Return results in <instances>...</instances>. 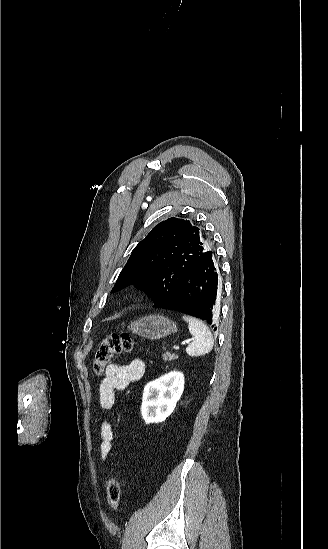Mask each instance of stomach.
I'll return each mask as SVG.
<instances>
[{"instance_id":"0dacf381","label":"stomach","mask_w":328,"mask_h":549,"mask_svg":"<svg viewBox=\"0 0 328 549\" xmlns=\"http://www.w3.org/2000/svg\"><path fill=\"white\" fill-rule=\"evenodd\" d=\"M129 331L139 335V337H145V339H163L168 337L172 333H177V325L174 321L166 319L163 315H147V317H141L138 321H132L128 327Z\"/></svg>"}]
</instances>
